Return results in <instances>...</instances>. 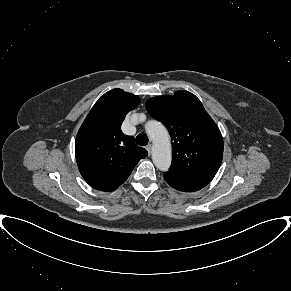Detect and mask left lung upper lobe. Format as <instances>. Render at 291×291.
Returning a JSON list of instances; mask_svg holds the SVG:
<instances>
[{"instance_id": "1", "label": "left lung upper lobe", "mask_w": 291, "mask_h": 291, "mask_svg": "<svg viewBox=\"0 0 291 291\" xmlns=\"http://www.w3.org/2000/svg\"><path fill=\"white\" fill-rule=\"evenodd\" d=\"M149 114L168 129L173 148L169 172L211 181L223 157V138L200 100L188 91H177L146 101Z\"/></svg>"}]
</instances>
